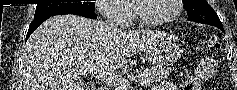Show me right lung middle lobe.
<instances>
[{"instance_id": "right-lung-middle-lobe-1", "label": "right lung middle lobe", "mask_w": 237, "mask_h": 90, "mask_svg": "<svg viewBox=\"0 0 237 90\" xmlns=\"http://www.w3.org/2000/svg\"><path fill=\"white\" fill-rule=\"evenodd\" d=\"M73 9L95 11V4L93 2L37 4L34 19Z\"/></svg>"}]
</instances>
